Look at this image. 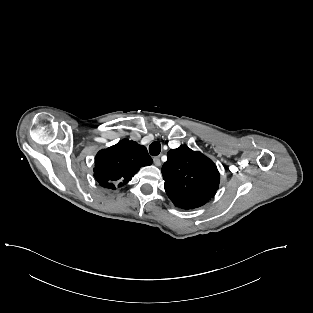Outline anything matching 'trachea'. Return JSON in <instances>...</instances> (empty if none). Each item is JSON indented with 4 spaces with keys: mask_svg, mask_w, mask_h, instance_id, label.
<instances>
[{
    "mask_svg": "<svg viewBox=\"0 0 313 313\" xmlns=\"http://www.w3.org/2000/svg\"><path fill=\"white\" fill-rule=\"evenodd\" d=\"M161 145L159 142H152L149 146V152L152 156H157L160 154Z\"/></svg>",
    "mask_w": 313,
    "mask_h": 313,
    "instance_id": "1",
    "label": "trachea"
}]
</instances>
